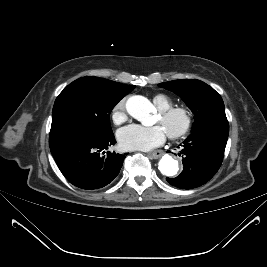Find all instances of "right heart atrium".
I'll list each match as a JSON object with an SVG mask.
<instances>
[{
  "label": "right heart atrium",
  "mask_w": 267,
  "mask_h": 267,
  "mask_svg": "<svg viewBox=\"0 0 267 267\" xmlns=\"http://www.w3.org/2000/svg\"><path fill=\"white\" fill-rule=\"evenodd\" d=\"M111 118L114 124L120 125L127 120L125 100L119 101L113 108Z\"/></svg>",
  "instance_id": "right-heart-atrium-1"
}]
</instances>
